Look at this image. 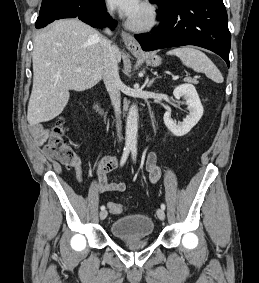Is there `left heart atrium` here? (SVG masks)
Returning <instances> with one entry per match:
<instances>
[{
    "label": "left heart atrium",
    "mask_w": 259,
    "mask_h": 283,
    "mask_svg": "<svg viewBox=\"0 0 259 283\" xmlns=\"http://www.w3.org/2000/svg\"><path fill=\"white\" fill-rule=\"evenodd\" d=\"M123 15L132 19L142 7L141 0H109Z\"/></svg>",
    "instance_id": "obj_1"
}]
</instances>
